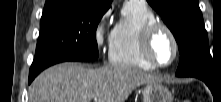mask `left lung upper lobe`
Here are the masks:
<instances>
[{
  "instance_id": "1",
  "label": "left lung upper lobe",
  "mask_w": 221,
  "mask_h": 102,
  "mask_svg": "<svg viewBox=\"0 0 221 102\" xmlns=\"http://www.w3.org/2000/svg\"><path fill=\"white\" fill-rule=\"evenodd\" d=\"M173 33L180 52L178 77L212 78L214 64L198 0H147Z\"/></svg>"
}]
</instances>
